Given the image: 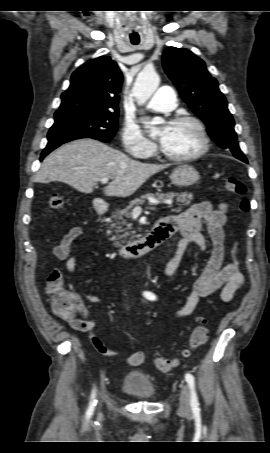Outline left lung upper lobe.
<instances>
[{
    "label": "left lung upper lobe",
    "instance_id": "1",
    "mask_svg": "<svg viewBox=\"0 0 270 453\" xmlns=\"http://www.w3.org/2000/svg\"><path fill=\"white\" fill-rule=\"evenodd\" d=\"M166 74L179 90L182 99L208 127V134L236 158L245 157L239 148L234 120L218 82L206 69L205 63L191 51L169 47L162 56Z\"/></svg>",
    "mask_w": 270,
    "mask_h": 453
}]
</instances>
